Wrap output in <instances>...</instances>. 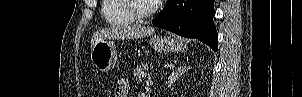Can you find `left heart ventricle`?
Returning a JSON list of instances; mask_svg holds the SVG:
<instances>
[{"label":"left heart ventricle","mask_w":302,"mask_h":97,"mask_svg":"<svg viewBox=\"0 0 302 97\" xmlns=\"http://www.w3.org/2000/svg\"><path fill=\"white\" fill-rule=\"evenodd\" d=\"M133 4L138 11L144 12L152 3L149 0H134Z\"/></svg>","instance_id":"b2bd125f"}]
</instances>
